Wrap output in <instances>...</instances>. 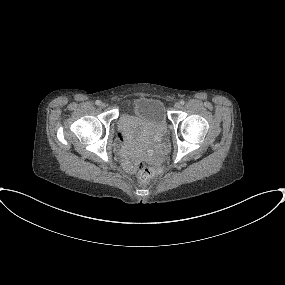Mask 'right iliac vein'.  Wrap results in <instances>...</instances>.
I'll return each mask as SVG.
<instances>
[{
    "label": "right iliac vein",
    "mask_w": 285,
    "mask_h": 285,
    "mask_svg": "<svg viewBox=\"0 0 285 285\" xmlns=\"http://www.w3.org/2000/svg\"><path fill=\"white\" fill-rule=\"evenodd\" d=\"M101 108H104L105 106H106V104L105 103H100V105H99Z\"/></svg>",
    "instance_id": "63e3f726"
}]
</instances>
